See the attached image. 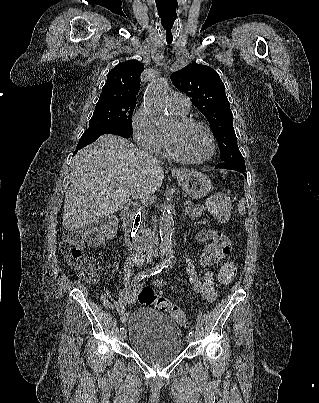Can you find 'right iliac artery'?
I'll return each instance as SVG.
<instances>
[{
  "label": "right iliac artery",
  "mask_w": 319,
  "mask_h": 403,
  "mask_svg": "<svg viewBox=\"0 0 319 403\" xmlns=\"http://www.w3.org/2000/svg\"><path fill=\"white\" fill-rule=\"evenodd\" d=\"M165 267H166V263L162 262V263H158L154 268H151V269H149V270H146V271H143V272L139 273V274L136 275V276L134 277V279L132 280V285H133V286H137L138 283H139L142 279H144L145 277H149V276H151V275H155V274L161 272L162 269L165 268ZM124 330H125L124 327H121V328H120V332H122V331H124Z\"/></svg>",
  "instance_id": "right-iliac-artery-1"
}]
</instances>
